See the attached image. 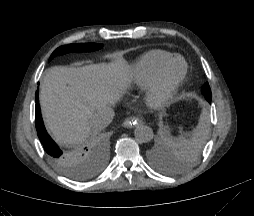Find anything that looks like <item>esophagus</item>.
<instances>
[{"mask_svg": "<svg viewBox=\"0 0 254 216\" xmlns=\"http://www.w3.org/2000/svg\"><path fill=\"white\" fill-rule=\"evenodd\" d=\"M140 123H141L140 119L131 116L125 119V121L122 123V127L130 129V128H134Z\"/></svg>", "mask_w": 254, "mask_h": 216, "instance_id": "34e87169", "label": "esophagus"}]
</instances>
